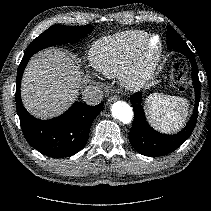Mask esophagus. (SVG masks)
I'll use <instances>...</instances> for the list:
<instances>
[{"instance_id": "esophagus-1", "label": "esophagus", "mask_w": 211, "mask_h": 211, "mask_svg": "<svg viewBox=\"0 0 211 211\" xmlns=\"http://www.w3.org/2000/svg\"><path fill=\"white\" fill-rule=\"evenodd\" d=\"M118 99V96H111L109 97V99L107 100V103L110 104L113 101H116Z\"/></svg>"}]
</instances>
